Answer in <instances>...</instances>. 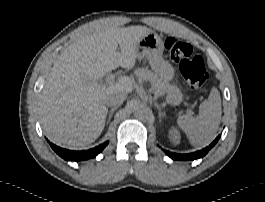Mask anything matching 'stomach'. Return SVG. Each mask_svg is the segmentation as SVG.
Returning <instances> with one entry per match:
<instances>
[{
  "instance_id": "1",
  "label": "stomach",
  "mask_w": 265,
  "mask_h": 202,
  "mask_svg": "<svg viewBox=\"0 0 265 202\" xmlns=\"http://www.w3.org/2000/svg\"><path fill=\"white\" fill-rule=\"evenodd\" d=\"M164 43L154 32H151L138 42L137 58L148 59L152 70L166 84L167 101L172 105H179L183 101L181 90L171 84L174 78L173 66L163 58Z\"/></svg>"
}]
</instances>
